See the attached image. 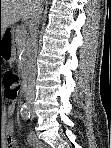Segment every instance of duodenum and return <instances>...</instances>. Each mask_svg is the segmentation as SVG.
Returning a JSON list of instances; mask_svg holds the SVG:
<instances>
[{
    "label": "duodenum",
    "mask_w": 111,
    "mask_h": 148,
    "mask_svg": "<svg viewBox=\"0 0 111 148\" xmlns=\"http://www.w3.org/2000/svg\"><path fill=\"white\" fill-rule=\"evenodd\" d=\"M27 85H28V76H25L24 87H27Z\"/></svg>",
    "instance_id": "1"
}]
</instances>
